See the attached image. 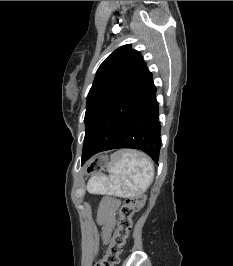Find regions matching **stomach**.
Listing matches in <instances>:
<instances>
[{
    "label": "stomach",
    "mask_w": 233,
    "mask_h": 266,
    "mask_svg": "<svg viewBox=\"0 0 233 266\" xmlns=\"http://www.w3.org/2000/svg\"><path fill=\"white\" fill-rule=\"evenodd\" d=\"M114 156H107V152H96L93 161H88V166H112ZM86 176H91L92 172H102V167H84Z\"/></svg>",
    "instance_id": "obj_1"
}]
</instances>
